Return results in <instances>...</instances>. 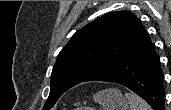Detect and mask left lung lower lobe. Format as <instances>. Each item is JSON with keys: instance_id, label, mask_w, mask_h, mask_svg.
I'll return each mask as SVG.
<instances>
[{"instance_id": "0a47b994", "label": "left lung lower lobe", "mask_w": 171, "mask_h": 110, "mask_svg": "<svg viewBox=\"0 0 171 110\" xmlns=\"http://www.w3.org/2000/svg\"><path fill=\"white\" fill-rule=\"evenodd\" d=\"M154 45L147 36L120 63L93 81L121 84L142 97L154 110L164 109L163 72Z\"/></svg>"}]
</instances>
